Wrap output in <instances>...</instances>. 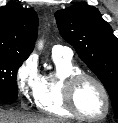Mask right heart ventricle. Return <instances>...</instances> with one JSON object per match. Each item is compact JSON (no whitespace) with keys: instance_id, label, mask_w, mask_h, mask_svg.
<instances>
[{"instance_id":"1","label":"right heart ventricle","mask_w":118,"mask_h":123,"mask_svg":"<svg viewBox=\"0 0 118 123\" xmlns=\"http://www.w3.org/2000/svg\"><path fill=\"white\" fill-rule=\"evenodd\" d=\"M55 71L41 75L39 87L34 98L35 104L41 112L46 114L72 118L74 115L66 108L63 101L62 82L73 73L81 72L71 59L52 56Z\"/></svg>"}]
</instances>
